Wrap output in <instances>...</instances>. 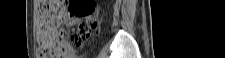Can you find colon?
I'll use <instances>...</instances> for the list:
<instances>
[{
  "mask_svg": "<svg viewBox=\"0 0 225 58\" xmlns=\"http://www.w3.org/2000/svg\"><path fill=\"white\" fill-rule=\"evenodd\" d=\"M36 6L38 58H65L62 24L67 18L85 19L77 34L70 37L75 45L88 39L99 27L98 10L93 0H37Z\"/></svg>",
  "mask_w": 225,
  "mask_h": 58,
  "instance_id": "obj_1",
  "label": "colon"
}]
</instances>
